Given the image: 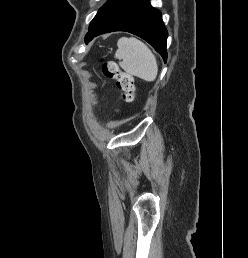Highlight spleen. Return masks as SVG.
Listing matches in <instances>:
<instances>
[{
    "mask_svg": "<svg viewBox=\"0 0 248 258\" xmlns=\"http://www.w3.org/2000/svg\"><path fill=\"white\" fill-rule=\"evenodd\" d=\"M115 58L128 74L152 82L156 79L158 65L156 57L146 44L134 37H122L117 43Z\"/></svg>",
    "mask_w": 248,
    "mask_h": 258,
    "instance_id": "3e777b00",
    "label": "spleen"
}]
</instances>
